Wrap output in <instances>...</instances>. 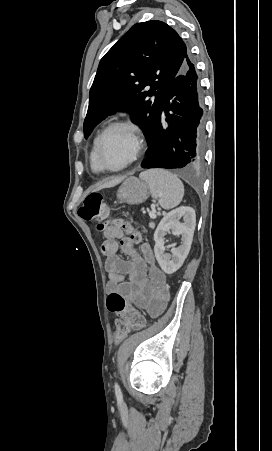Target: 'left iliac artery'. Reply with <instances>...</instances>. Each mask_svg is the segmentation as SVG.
Returning <instances> with one entry per match:
<instances>
[{
    "mask_svg": "<svg viewBox=\"0 0 272 451\" xmlns=\"http://www.w3.org/2000/svg\"><path fill=\"white\" fill-rule=\"evenodd\" d=\"M114 387H115V394H116L117 400H121L122 392H121L119 385L117 383H115Z\"/></svg>",
    "mask_w": 272,
    "mask_h": 451,
    "instance_id": "obj_1",
    "label": "left iliac artery"
}]
</instances>
